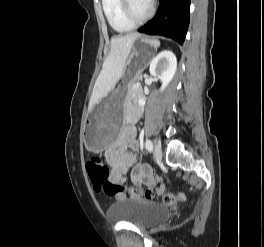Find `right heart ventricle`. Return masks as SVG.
Returning <instances> with one entry per match:
<instances>
[{"instance_id": "obj_1", "label": "right heart ventricle", "mask_w": 264, "mask_h": 247, "mask_svg": "<svg viewBox=\"0 0 264 247\" xmlns=\"http://www.w3.org/2000/svg\"><path fill=\"white\" fill-rule=\"evenodd\" d=\"M102 9L109 25L115 31L123 33L133 28V24L122 13L121 0H102Z\"/></svg>"}]
</instances>
